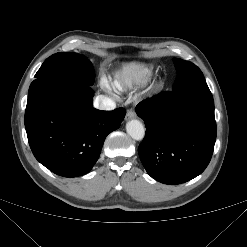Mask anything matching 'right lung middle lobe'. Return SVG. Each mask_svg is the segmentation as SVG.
<instances>
[{
  "label": "right lung middle lobe",
  "instance_id": "1",
  "mask_svg": "<svg viewBox=\"0 0 247 247\" xmlns=\"http://www.w3.org/2000/svg\"><path fill=\"white\" fill-rule=\"evenodd\" d=\"M35 78H56L91 86L94 83L95 73L91 62L86 57L61 52L47 58Z\"/></svg>",
  "mask_w": 247,
  "mask_h": 247
}]
</instances>
